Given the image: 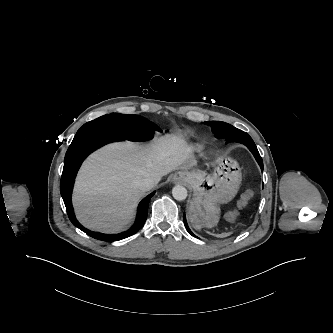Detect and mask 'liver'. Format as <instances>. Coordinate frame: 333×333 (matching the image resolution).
Here are the masks:
<instances>
[{
	"mask_svg": "<svg viewBox=\"0 0 333 333\" xmlns=\"http://www.w3.org/2000/svg\"><path fill=\"white\" fill-rule=\"evenodd\" d=\"M197 160L179 135H165L150 144L115 143L93 153L83 164L72 202L77 219L104 233L123 230L132 220L136 203L145 194L144 178L154 181L176 169H191Z\"/></svg>",
	"mask_w": 333,
	"mask_h": 333,
	"instance_id": "liver-1",
	"label": "liver"
}]
</instances>
